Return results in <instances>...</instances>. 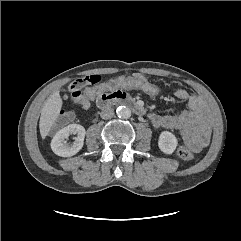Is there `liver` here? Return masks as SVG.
Here are the masks:
<instances>
[{
    "label": "liver",
    "instance_id": "6515ba94",
    "mask_svg": "<svg viewBox=\"0 0 241 241\" xmlns=\"http://www.w3.org/2000/svg\"><path fill=\"white\" fill-rule=\"evenodd\" d=\"M62 104L63 102L59 91H55L44 103L39 121V128L42 139L48 135L50 129L55 124L57 118L59 117V112L62 108Z\"/></svg>",
    "mask_w": 241,
    "mask_h": 241
}]
</instances>
